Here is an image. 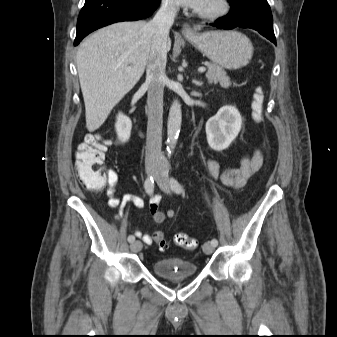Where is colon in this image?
Returning <instances> with one entry per match:
<instances>
[{"label":"colon","instance_id":"1","mask_svg":"<svg viewBox=\"0 0 337 337\" xmlns=\"http://www.w3.org/2000/svg\"><path fill=\"white\" fill-rule=\"evenodd\" d=\"M264 92L261 86L255 88L252 101L253 117L257 122L262 121ZM109 141L99 135L87 134L76 150V170L81 182L90 190H101L107 185L108 176L103 169L105 151ZM160 248L168 247V241L162 231L153 234ZM174 243L186 250L196 249L197 240L185 233H177Z\"/></svg>","mask_w":337,"mask_h":337}]
</instances>
